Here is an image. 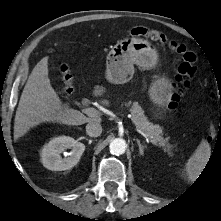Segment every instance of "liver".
Here are the masks:
<instances>
[{
  "mask_svg": "<svg viewBox=\"0 0 221 221\" xmlns=\"http://www.w3.org/2000/svg\"><path fill=\"white\" fill-rule=\"evenodd\" d=\"M101 103L109 104L107 100H102ZM47 122L74 126L100 122V118H88L61 101L48 78L46 56L33 68L21 94L14 120L15 140L25 135L31 128Z\"/></svg>",
  "mask_w": 221,
  "mask_h": 221,
  "instance_id": "liver-1",
  "label": "liver"
}]
</instances>
